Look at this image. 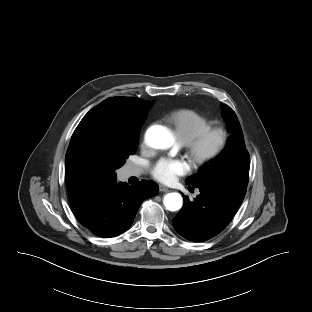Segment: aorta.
Masks as SVG:
<instances>
[{"instance_id": "aorta-1", "label": "aorta", "mask_w": 312, "mask_h": 312, "mask_svg": "<svg viewBox=\"0 0 312 312\" xmlns=\"http://www.w3.org/2000/svg\"><path fill=\"white\" fill-rule=\"evenodd\" d=\"M146 141L153 148L165 149L173 145L174 139L166 127L155 125L148 129ZM163 203L168 210L177 211L181 209L183 199L179 193L173 192L165 195Z\"/></svg>"}]
</instances>
